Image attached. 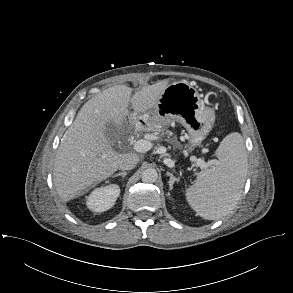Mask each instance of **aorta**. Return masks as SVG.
<instances>
[{"label":"aorta","instance_id":"1","mask_svg":"<svg viewBox=\"0 0 293 293\" xmlns=\"http://www.w3.org/2000/svg\"><path fill=\"white\" fill-rule=\"evenodd\" d=\"M141 178L145 183H154L158 178V173L154 168H147L142 172Z\"/></svg>","mask_w":293,"mask_h":293}]
</instances>
